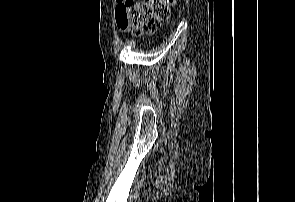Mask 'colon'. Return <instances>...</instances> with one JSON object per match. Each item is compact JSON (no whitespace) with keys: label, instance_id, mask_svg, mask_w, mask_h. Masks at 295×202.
Instances as JSON below:
<instances>
[{"label":"colon","instance_id":"5ec220e1","mask_svg":"<svg viewBox=\"0 0 295 202\" xmlns=\"http://www.w3.org/2000/svg\"><path fill=\"white\" fill-rule=\"evenodd\" d=\"M176 0H126L119 10V25L134 36L156 32L161 22L168 19L170 7Z\"/></svg>","mask_w":295,"mask_h":202}]
</instances>
